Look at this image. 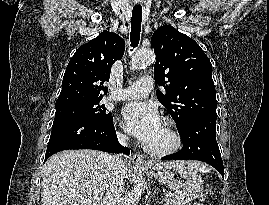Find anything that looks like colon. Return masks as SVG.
Masks as SVG:
<instances>
[{
	"instance_id": "obj_1",
	"label": "colon",
	"mask_w": 269,
	"mask_h": 205,
	"mask_svg": "<svg viewBox=\"0 0 269 205\" xmlns=\"http://www.w3.org/2000/svg\"><path fill=\"white\" fill-rule=\"evenodd\" d=\"M192 205H203V204H192Z\"/></svg>"
}]
</instances>
